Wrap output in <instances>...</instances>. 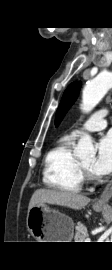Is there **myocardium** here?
Instances as JSON below:
<instances>
[{"label": "myocardium", "mask_w": 112, "mask_h": 270, "mask_svg": "<svg viewBox=\"0 0 112 270\" xmlns=\"http://www.w3.org/2000/svg\"><path fill=\"white\" fill-rule=\"evenodd\" d=\"M79 170L83 180L91 181L94 179L90 169L85 167L81 162H79Z\"/></svg>", "instance_id": "1"}]
</instances>
